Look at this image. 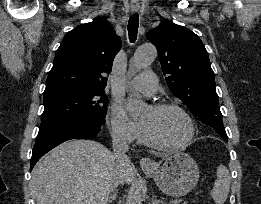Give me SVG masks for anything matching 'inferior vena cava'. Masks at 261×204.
Returning <instances> with one entry per match:
<instances>
[{
  "label": "inferior vena cava",
  "instance_id": "inferior-vena-cava-1",
  "mask_svg": "<svg viewBox=\"0 0 261 204\" xmlns=\"http://www.w3.org/2000/svg\"><path fill=\"white\" fill-rule=\"evenodd\" d=\"M113 144V172L111 178V191H114L119 184L122 183L121 170L128 165L130 162L126 152L129 146L126 139L118 134H112Z\"/></svg>",
  "mask_w": 261,
  "mask_h": 204
}]
</instances>
